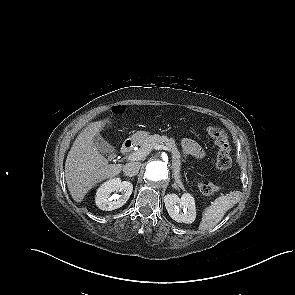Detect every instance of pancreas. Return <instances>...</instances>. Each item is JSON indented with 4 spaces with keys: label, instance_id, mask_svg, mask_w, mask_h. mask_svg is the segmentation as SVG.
<instances>
[{
    "label": "pancreas",
    "instance_id": "pancreas-1",
    "mask_svg": "<svg viewBox=\"0 0 295 295\" xmlns=\"http://www.w3.org/2000/svg\"><path fill=\"white\" fill-rule=\"evenodd\" d=\"M155 145H165L169 151L172 153V168L173 176L177 183V186L182 190H185L184 185L181 181L180 169H181V154L177 148L176 142L173 138H168L167 136L152 135L145 142L140 144V149L138 152L148 154L154 149Z\"/></svg>",
    "mask_w": 295,
    "mask_h": 295
}]
</instances>
